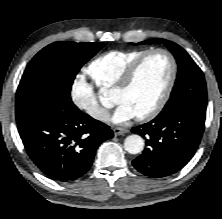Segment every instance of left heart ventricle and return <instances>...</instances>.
Instances as JSON below:
<instances>
[{
	"instance_id": "1",
	"label": "left heart ventricle",
	"mask_w": 222,
	"mask_h": 219,
	"mask_svg": "<svg viewBox=\"0 0 222 219\" xmlns=\"http://www.w3.org/2000/svg\"><path fill=\"white\" fill-rule=\"evenodd\" d=\"M170 74L169 59L161 53L152 54L140 66L132 85L114 93L116 103H125L136 116L150 110L160 99Z\"/></svg>"
}]
</instances>
